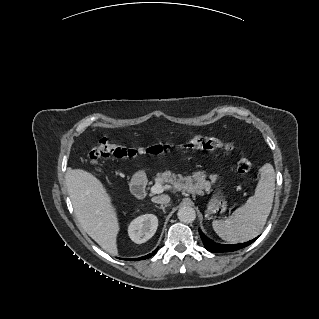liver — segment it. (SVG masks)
Masks as SVG:
<instances>
[{
  "label": "liver",
  "mask_w": 319,
  "mask_h": 319,
  "mask_svg": "<svg viewBox=\"0 0 319 319\" xmlns=\"http://www.w3.org/2000/svg\"><path fill=\"white\" fill-rule=\"evenodd\" d=\"M67 188L82 229L103 250L117 255L116 239L120 226L106 188L94 175L80 169L67 173Z\"/></svg>",
  "instance_id": "liver-1"
}]
</instances>
